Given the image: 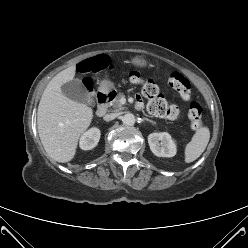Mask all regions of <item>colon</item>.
<instances>
[{
	"mask_svg": "<svg viewBox=\"0 0 248 248\" xmlns=\"http://www.w3.org/2000/svg\"><path fill=\"white\" fill-rule=\"evenodd\" d=\"M104 66L102 58L86 60L79 65V69L83 72L96 71ZM130 80L142 87L144 96L148 99L149 111L160 117H171L176 113V108L169 106L167 101L159 92L158 86L149 79H144L138 73H132ZM169 86L176 91L183 100L190 101L191 91L189 80L179 72H172L168 78ZM86 89L91 92L90 79L85 80ZM188 118L190 120L191 129L197 131L201 129L202 123V106L196 101H190L188 106Z\"/></svg>",
	"mask_w": 248,
	"mask_h": 248,
	"instance_id": "colon-1",
	"label": "colon"
}]
</instances>
